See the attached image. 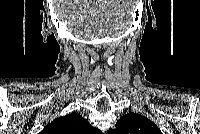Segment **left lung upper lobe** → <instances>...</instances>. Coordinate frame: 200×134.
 I'll return each instance as SVG.
<instances>
[{
  "label": "left lung upper lobe",
  "instance_id": "obj_1",
  "mask_svg": "<svg viewBox=\"0 0 200 134\" xmlns=\"http://www.w3.org/2000/svg\"><path fill=\"white\" fill-rule=\"evenodd\" d=\"M108 134H162L160 129L147 117L129 113L120 118Z\"/></svg>",
  "mask_w": 200,
  "mask_h": 134
}]
</instances>
